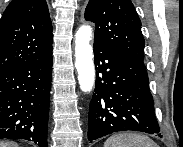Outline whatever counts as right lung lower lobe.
<instances>
[{
    "mask_svg": "<svg viewBox=\"0 0 183 147\" xmlns=\"http://www.w3.org/2000/svg\"><path fill=\"white\" fill-rule=\"evenodd\" d=\"M52 51L0 72V139L47 147Z\"/></svg>",
    "mask_w": 183,
    "mask_h": 147,
    "instance_id": "1",
    "label": "right lung lower lobe"
}]
</instances>
